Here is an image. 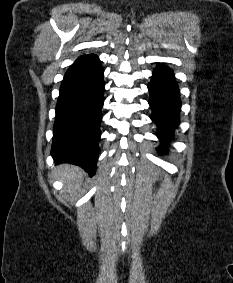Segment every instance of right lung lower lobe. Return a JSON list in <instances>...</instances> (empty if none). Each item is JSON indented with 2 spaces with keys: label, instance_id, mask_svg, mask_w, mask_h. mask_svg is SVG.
Returning <instances> with one entry per match:
<instances>
[{
  "label": "right lung lower lobe",
  "instance_id": "obj_1",
  "mask_svg": "<svg viewBox=\"0 0 233 283\" xmlns=\"http://www.w3.org/2000/svg\"><path fill=\"white\" fill-rule=\"evenodd\" d=\"M104 69L98 56L79 57L60 87L51 148L56 163H71L94 175L99 152Z\"/></svg>",
  "mask_w": 233,
  "mask_h": 283
}]
</instances>
